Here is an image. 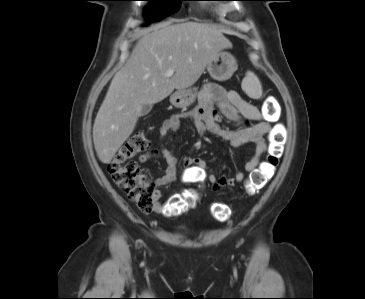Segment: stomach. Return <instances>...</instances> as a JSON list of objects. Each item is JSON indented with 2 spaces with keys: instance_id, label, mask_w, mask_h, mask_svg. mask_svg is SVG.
<instances>
[{
  "instance_id": "1",
  "label": "stomach",
  "mask_w": 365,
  "mask_h": 299,
  "mask_svg": "<svg viewBox=\"0 0 365 299\" xmlns=\"http://www.w3.org/2000/svg\"><path fill=\"white\" fill-rule=\"evenodd\" d=\"M237 70V61L229 52L219 51L212 61L207 65L210 76L218 81H225L232 77ZM197 89L189 88L177 90L170 97V102L177 108L190 105L196 98Z\"/></svg>"
}]
</instances>
